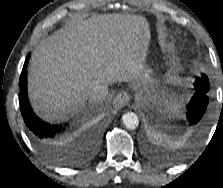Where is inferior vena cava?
<instances>
[{"label": "inferior vena cava", "mask_w": 223, "mask_h": 188, "mask_svg": "<svg viewBox=\"0 0 223 188\" xmlns=\"http://www.w3.org/2000/svg\"><path fill=\"white\" fill-rule=\"evenodd\" d=\"M108 82L104 80H97L86 91V98L93 102H100L106 99L108 95Z\"/></svg>", "instance_id": "obj_1"}]
</instances>
